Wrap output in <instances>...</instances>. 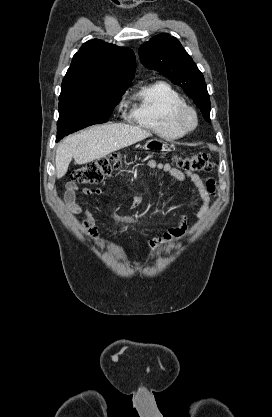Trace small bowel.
Returning <instances> with one entry per match:
<instances>
[{"instance_id": "c3829d8e", "label": "small bowel", "mask_w": 272, "mask_h": 417, "mask_svg": "<svg viewBox=\"0 0 272 417\" xmlns=\"http://www.w3.org/2000/svg\"><path fill=\"white\" fill-rule=\"evenodd\" d=\"M140 165L146 166L149 169L153 170H159L163 171L170 176H172L174 179H176L179 182H184L186 180H189L193 183V185L196 187L199 199H200V207L198 210L197 215L199 217L204 216L209 208L210 203V196L214 192V182L212 180H208L206 182L203 181V179L195 173L191 172H182L181 170L171 166L168 163H161L157 162L155 160H146L143 162H140ZM79 192V187L74 182H68L65 186V192H64V202L66 208L74 213L79 214L81 213V206L79 205L77 201V194ZM81 194L85 196H90L93 194V191L87 187H84L80 190ZM105 191L102 188H98L95 190V194L98 197H103ZM139 204V198L135 196L132 201V207H136ZM84 227L86 229L87 234L93 238L97 239L98 233L96 228V222L93 215V211L88 209L84 213ZM186 228H187V216L184 214H180L177 217V225L171 229H169L167 232H165L163 235H161L159 238H156L152 240L149 243V246L153 248L157 242L161 241H168L171 239H182L186 236Z\"/></svg>"}]
</instances>
